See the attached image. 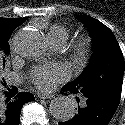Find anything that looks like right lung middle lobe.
<instances>
[{
	"mask_svg": "<svg viewBox=\"0 0 125 125\" xmlns=\"http://www.w3.org/2000/svg\"><path fill=\"white\" fill-rule=\"evenodd\" d=\"M12 32L13 29L0 28V51H3L5 54H8L10 51L8 40L10 39ZM3 65H5L4 58H3Z\"/></svg>",
	"mask_w": 125,
	"mask_h": 125,
	"instance_id": "dd1d6c3e",
	"label": "right lung middle lobe"
}]
</instances>
